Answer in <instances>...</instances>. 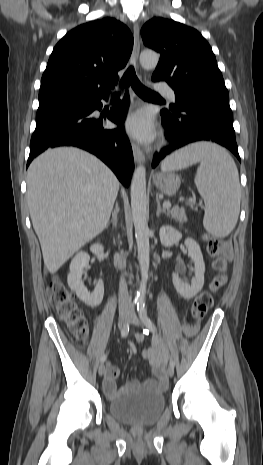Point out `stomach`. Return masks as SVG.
Listing matches in <instances>:
<instances>
[{"mask_svg":"<svg viewBox=\"0 0 263 465\" xmlns=\"http://www.w3.org/2000/svg\"><path fill=\"white\" fill-rule=\"evenodd\" d=\"M153 182L162 193L168 196L174 195L180 186V178L171 173L155 174Z\"/></svg>","mask_w":263,"mask_h":465,"instance_id":"0dacf381","label":"stomach"}]
</instances>
